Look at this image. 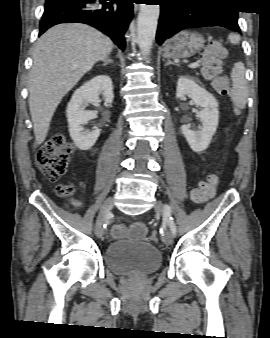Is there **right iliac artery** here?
Here are the masks:
<instances>
[{
    "label": "right iliac artery",
    "mask_w": 270,
    "mask_h": 338,
    "mask_svg": "<svg viewBox=\"0 0 270 338\" xmlns=\"http://www.w3.org/2000/svg\"><path fill=\"white\" fill-rule=\"evenodd\" d=\"M110 212L108 213L106 220H105V224H104V228L107 230L109 222H110Z\"/></svg>",
    "instance_id": "obj_1"
}]
</instances>
